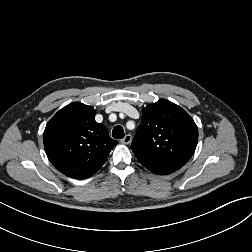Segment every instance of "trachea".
Wrapping results in <instances>:
<instances>
[{
  "instance_id": "1",
  "label": "trachea",
  "mask_w": 252,
  "mask_h": 252,
  "mask_svg": "<svg viewBox=\"0 0 252 252\" xmlns=\"http://www.w3.org/2000/svg\"><path fill=\"white\" fill-rule=\"evenodd\" d=\"M124 129L122 126H115L112 130V136L115 139H122L124 137Z\"/></svg>"
}]
</instances>
